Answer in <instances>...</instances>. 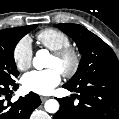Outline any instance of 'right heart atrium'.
<instances>
[{"mask_svg":"<svg viewBox=\"0 0 119 119\" xmlns=\"http://www.w3.org/2000/svg\"><path fill=\"white\" fill-rule=\"evenodd\" d=\"M33 59L31 41L28 37L20 39L13 49V60L18 70L30 68Z\"/></svg>","mask_w":119,"mask_h":119,"instance_id":"right-heart-atrium-1","label":"right heart atrium"}]
</instances>
